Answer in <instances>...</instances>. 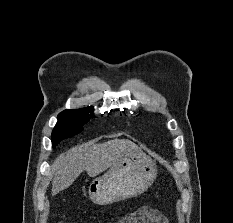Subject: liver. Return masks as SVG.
Returning <instances> with one entry per match:
<instances>
[{
  "mask_svg": "<svg viewBox=\"0 0 233 223\" xmlns=\"http://www.w3.org/2000/svg\"><path fill=\"white\" fill-rule=\"evenodd\" d=\"M133 149H137V145L130 139H109L104 143L87 141L60 153L51 165L52 195L72 185L82 171H87L90 177H95L111 167L124 153Z\"/></svg>",
  "mask_w": 233,
  "mask_h": 223,
  "instance_id": "liver-1",
  "label": "liver"
}]
</instances>
